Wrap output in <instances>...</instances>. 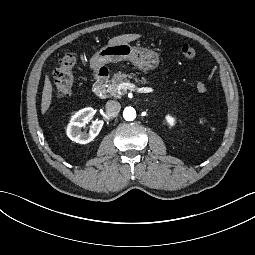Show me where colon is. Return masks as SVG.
<instances>
[{"label":"colon","instance_id":"colon-1","mask_svg":"<svg viewBox=\"0 0 255 255\" xmlns=\"http://www.w3.org/2000/svg\"><path fill=\"white\" fill-rule=\"evenodd\" d=\"M181 53L186 59H194L198 51L195 47L188 43H184L181 47ZM77 63V53L69 51L65 53L58 61V66L54 71V89L55 95L59 99L68 97L74 84V68ZM200 92H205L207 86L203 82L197 84Z\"/></svg>","mask_w":255,"mask_h":255}]
</instances>
